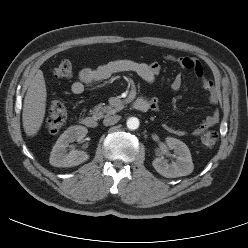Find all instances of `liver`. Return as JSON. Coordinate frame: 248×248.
Masks as SVG:
<instances>
[{"mask_svg":"<svg viewBox=\"0 0 248 248\" xmlns=\"http://www.w3.org/2000/svg\"><path fill=\"white\" fill-rule=\"evenodd\" d=\"M46 85L41 70L32 78L23 105V128L27 136H34L40 130L46 110Z\"/></svg>","mask_w":248,"mask_h":248,"instance_id":"1","label":"liver"}]
</instances>
